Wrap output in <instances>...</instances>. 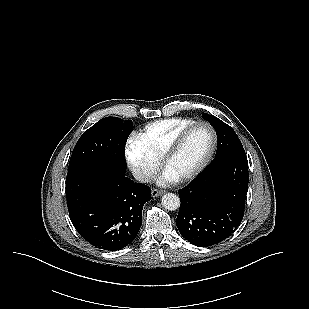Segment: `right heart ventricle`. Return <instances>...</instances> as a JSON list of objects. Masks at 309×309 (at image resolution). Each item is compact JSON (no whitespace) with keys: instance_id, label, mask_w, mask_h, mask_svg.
<instances>
[{"instance_id":"right-heart-ventricle-1","label":"right heart ventricle","mask_w":309,"mask_h":309,"mask_svg":"<svg viewBox=\"0 0 309 309\" xmlns=\"http://www.w3.org/2000/svg\"><path fill=\"white\" fill-rule=\"evenodd\" d=\"M190 118H169L146 125L136 139L155 157L161 159L172 141L187 126L194 123Z\"/></svg>"}]
</instances>
